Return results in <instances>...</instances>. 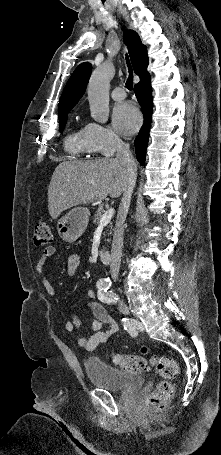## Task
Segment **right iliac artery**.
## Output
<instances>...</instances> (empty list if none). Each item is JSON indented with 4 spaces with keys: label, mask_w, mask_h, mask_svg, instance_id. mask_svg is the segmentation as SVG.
<instances>
[{
    "label": "right iliac artery",
    "mask_w": 221,
    "mask_h": 455,
    "mask_svg": "<svg viewBox=\"0 0 221 455\" xmlns=\"http://www.w3.org/2000/svg\"><path fill=\"white\" fill-rule=\"evenodd\" d=\"M98 288H107L108 286L106 284H103V283H98ZM124 331L126 332V334H129V337H138L139 336V333L137 332L135 326L133 324L130 323L129 320H126L124 319Z\"/></svg>",
    "instance_id": "right-iliac-artery-1"
}]
</instances>
